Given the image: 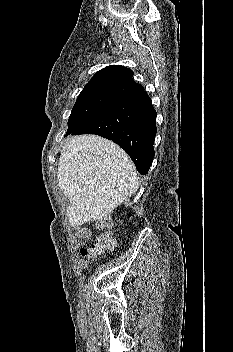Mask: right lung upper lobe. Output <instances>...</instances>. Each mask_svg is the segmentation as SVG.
<instances>
[{
	"mask_svg": "<svg viewBox=\"0 0 233 352\" xmlns=\"http://www.w3.org/2000/svg\"><path fill=\"white\" fill-rule=\"evenodd\" d=\"M133 71L119 65H110L98 71L85 85V88L96 86H121L128 87L141 92L143 86L137 84L133 79Z\"/></svg>",
	"mask_w": 233,
	"mask_h": 352,
	"instance_id": "1",
	"label": "right lung upper lobe"
}]
</instances>
